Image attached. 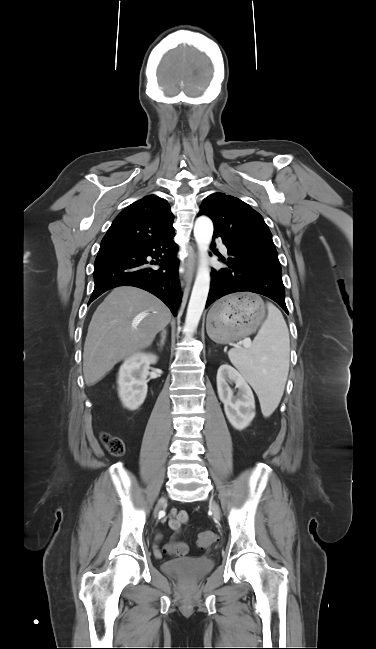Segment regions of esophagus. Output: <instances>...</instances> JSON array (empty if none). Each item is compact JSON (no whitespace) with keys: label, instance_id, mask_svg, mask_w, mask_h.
Wrapping results in <instances>:
<instances>
[{"label":"esophagus","instance_id":"34e87169","mask_svg":"<svg viewBox=\"0 0 376 649\" xmlns=\"http://www.w3.org/2000/svg\"><path fill=\"white\" fill-rule=\"evenodd\" d=\"M196 262H197V254L195 253L192 262H189L188 265H187L188 269H187V272L184 275V279H186L189 276L193 275Z\"/></svg>","mask_w":376,"mask_h":649}]
</instances>
